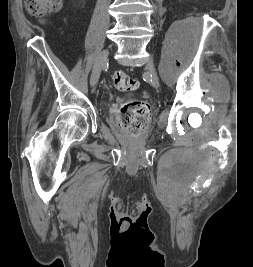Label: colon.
Listing matches in <instances>:
<instances>
[{
  "instance_id": "obj_1",
  "label": "colon",
  "mask_w": 253,
  "mask_h": 267,
  "mask_svg": "<svg viewBox=\"0 0 253 267\" xmlns=\"http://www.w3.org/2000/svg\"><path fill=\"white\" fill-rule=\"evenodd\" d=\"M62 0H25V7L29 13L37 17H43L58 11ZM115 87L122 91L133 90L138 86V81L131 78L123 71L113 74ZM148 105L140 101L125 102L118 113V122L129 134L140 135L147 123Z\"/></svg>"
}]
</instances>
